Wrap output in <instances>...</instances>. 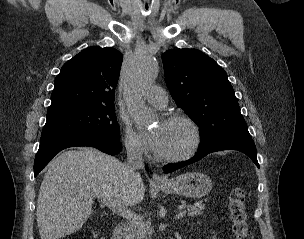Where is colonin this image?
I'll use <instances>...</instances> for the list:
<instances>
[{
	"label": "colon",
	"instance_id": "obj_1",
	"mask_svg": "<svg viewBox=\"0 0 304 239\" xmlns=\"http://www.w3.org/2000/svg\"><path fill=\"white\" fill-rule=\"evenodd\" d=\"M247 195L241 185L234 186L228 196V213L235 239H254L248 223Z\"/></svg>",
	"mask_w": 304,
	"mask_h": 239
}]
</instances>
